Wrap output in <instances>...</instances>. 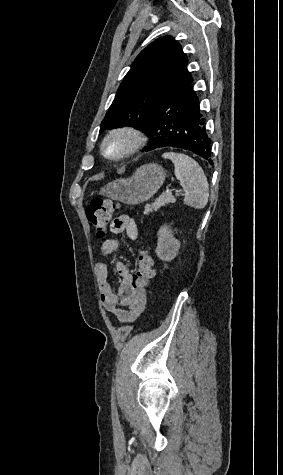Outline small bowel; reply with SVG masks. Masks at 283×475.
Listing matches in <instances>:
<instances>
[{"instance_id": "c3829d8e", "label": "small bowel", "mask_w": 283, "mask_h": 475, "mask_svg": "<svg viewBox=\"0 0 283 475\" xmlns=\"http://www.w3.org/2000/svg\"><path fill=\"white\" fill-rule=\"evenodd\" d=\"M105 230L111 235L117 232H124L129 240H135L138 229L135 221L128 215H120L114 219L113 223H107ZM120 247L117 239H109L102 246L104 256L111 255ZM115 270L122 279L118 290H114L108 281V267L104 262H97L94 267L97 286L104 309L113 313L117 321L121 324H129L136 321L146 309L148 303L147 286L145 291H133L129 282L132 274L128 268L119 260L114 262ZM155 278V276H153Z\"/></svg>"}]
</instances>
